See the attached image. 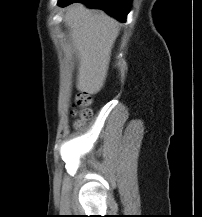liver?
Returning <instances> with one entry per match:
<instances>
[{
	"instance_id": "liver-1",
	"label": "liver",
	"mask_w": 202,
	"mask_h": 217,
	"mask_svg": "<svg viewBox=\"0 0 202 217\" xmlns=\"http://www.w3.org/2000/svg\"><path fill=\"white\" fill-rule=\"evenodd\" d=\"M64 22L70 29L71 42L79 61L77 89L96 94L107 77L111 50L120 31L119 23L104 12L79 3L66 10Z\"/></svg>"
}]
</instances>
